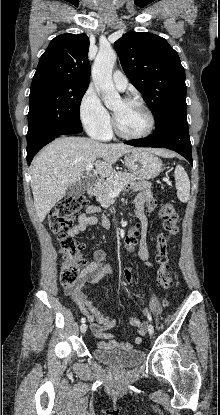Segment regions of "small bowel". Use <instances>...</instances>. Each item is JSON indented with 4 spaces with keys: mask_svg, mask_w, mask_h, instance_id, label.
Returning <instances> with one entry per match:
<instances>
[{
    "mask_svg": "<svg viewBox=\"0 0 220 415\" xmlns=\"http://www.w3.org/2000/svg\"><path fill=\"white\" fill-rule=\"evenodd\" d=\"M133 190L137 191L134 206L135 215L139 220V225L128 232L125 238V245L130 250L138 245L139 258L145 265L152 267V264L149 262L148 221L146 209H152L155 206V202L149 184L146 181H140ZM98 213V207L89 205L86 208V211L79 215L77 223L69 230V233L73 236H77L89 226L98 224ZM101 223L104 227L110 225V221L107 218L102 219ZM92 257V261L84 264L79 280L73 286L68 287L65 290V295L68 296L78 307L80 312L86 316L87 320L90 322V329L93 334L99 339L107 340L106 342L100 341L97 344L98 346L114 350H131L142 343V337L147 333V325L138 318H131L129 323L137 328V336L131 342H120L113 339L110 330L116 325V320L105 316L98 310L85 291L87 285H95L110 272L109 267L104 264L105 255L103 250H95Z\"/></svg>",
    "mask_w": 220,
    "mask_h": 415,
    "instance_id": "1",
    "label": "small bowel"
}]
</instances>
